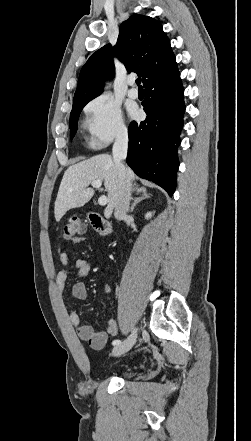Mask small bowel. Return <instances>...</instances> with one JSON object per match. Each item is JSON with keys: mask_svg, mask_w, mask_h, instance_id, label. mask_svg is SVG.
<instances>
[{"mask_svg": "<svg viewBox=\"0 0 251 441\" xmlns=\"http://www.w3.org/2000/svg\"><path fill=\"white\" fill-rule=\"evenodd\" d=\"M82 241L83 238L80 237L73 239V243L75 244L81 243ZM59 261L65 267L56 275V287L61 295L64 294L67 281L73 272L77 278L82 279L92 271V265L83 258H79L75 261L73 270L68 268L69 256L65 251H59ZM105 290L106 292H110V286H106ZM72 294L78 300H85L88 295L86 285L81 281L76 282L72 287ZM68 315L78 336L95 350H101L104 348L108 341V337L115 336L118 333V324L114 319L108 320L104 331H95L91 325L82 322L75 309L71 308Z\"/></svg>", "mask_w": 251, "mask_h": 441, "instance_id": "obj_1", "label": "small bowel"}]
</instances>
